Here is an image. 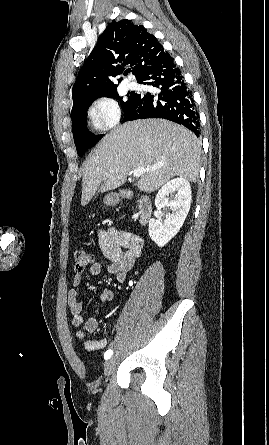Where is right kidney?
<instances>
[{"label": "right kidney", "instance_id": "1", "mask_svg": "<svg viewBox=\"0 0 269 445\" xmlns=\"http://www.w3.org/2000/svg\"><path fill=\"white\" fill-rule=\"evenodd\" d=\"M176 192L173 200L169 201V194ZM191 187L185 178H175L168 181L158 191L155 206L158 209L170 207L171 213L166 215L164 222L160 218L149 221V235L159 247H164L182 227L191 205Z\"/></svg>", "mask_w": 269, "mask_h": 445}]
</instances>
